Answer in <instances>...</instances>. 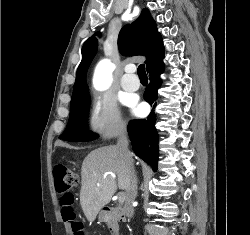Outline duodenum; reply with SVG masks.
<instances>
[{"mask_svg": "<svg viewBox=\"0 0 250 235\" xmlns=\"http://www.w3.org/2000/svg\"><path fill=\"white\" fill-rule=\"evenodd\" d=\"M106 216V224L112 235H118L120 224L125 222V215L119 208L108 209L104 212Z\"/></svg>", "mask_w": 250, "mask_h": 235, "instance_id": "410a0bca", "label": "duodenum"}]
</instances>
